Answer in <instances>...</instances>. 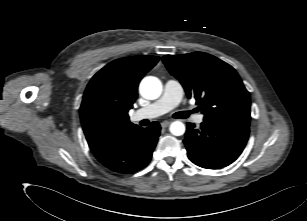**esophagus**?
Wrapping results in <instances>:
<instances>
[{
    "mask_svg": "<svg viewBox=\"0 0 307 221\" xmlns=\"http://www.w3.org/2000/svg\"><path fill=\"white\" fill-rule=\"evenodd\" d=\"M170 123H171V121H163V122H161V127L166 128V127L169 126Z\"/></svg>",
    "mask_w": 307,
    "mask_h": 221,
    "instance_id": "obj_1",
    "label": "esophagus"
}]
</instances>
